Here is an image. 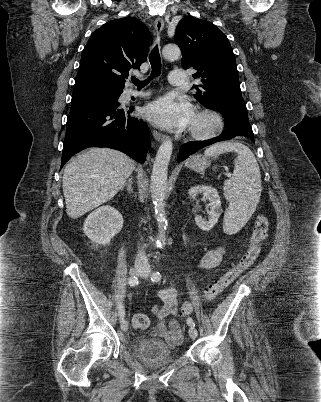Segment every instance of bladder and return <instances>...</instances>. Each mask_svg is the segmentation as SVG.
Segmentation results:
<instances>
[{
    "instance_id": "31cf9c89",
    "label": "bladder",
    "mask_w": 321,
    "mask_h": 402,
    "mask_svg": "<svg viewBox=\"0 0 321 402\" xmlns=\"http://www.w3.org/2000/svg\"><path fill=\"white\" fill-rule=\"evenodd\" d=\"M153 331L142 335L133 349V353L145 364L162 365L175 360L176 352L163 341L154 337ZM180 343V342H179ZM179 343L176 347H179Z\"/></svg>"
}]
</instances>
